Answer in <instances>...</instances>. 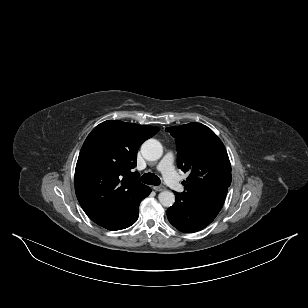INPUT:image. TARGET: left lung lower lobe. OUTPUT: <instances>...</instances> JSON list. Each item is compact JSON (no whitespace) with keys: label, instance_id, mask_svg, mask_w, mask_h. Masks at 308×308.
I'll list each match as a JSON object with an SVG mask.
<instances>
[{"label":"left lung lower lobe","instance_id":"obj_1","mask_svg":"<svg viewBox=\"0 0 308 308\" xmlns=\"http://www.w3.org/2000/svg\"><path fill=\"white\" fill-rule=\"evenodd\" d=\"M228 188L221 189L196 199L187 200L174 192L175 203L168 208L169 222L181 232L192 233L208 226L221 210Z\"/></svg>","mask_w":308,"mask_h":308}]
</instances>
